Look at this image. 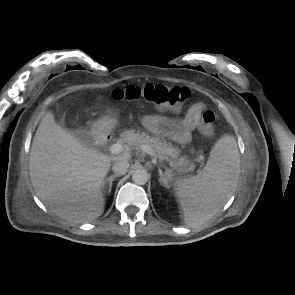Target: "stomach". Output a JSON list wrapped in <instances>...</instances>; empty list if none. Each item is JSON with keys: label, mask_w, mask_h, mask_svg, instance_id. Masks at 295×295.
I'll use <instances>...</instances> for the list:
<instances>
[{"label": "stomach", "mask_w": 295, "mask_h": 295, "mask_svg": "<svg viewBox=\"0 0 295 295\" xmlns=\"http://www.w3.org/2000/svg\"><path fill=\"white\" fill-rule=\"evenodd\" d=\"M117 110L109 108L104 116L97 120L92 127L94 133H108L117 124Z\"/></svg>", "instance_id": "1"}]
</instances>
